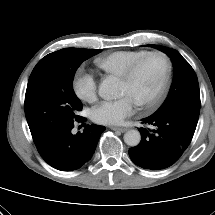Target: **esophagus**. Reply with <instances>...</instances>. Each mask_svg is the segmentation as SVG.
<instances>
[{"mask_svg":"<svg viewBox=\"0 0 215 215\" xmlns=\"http://www.w3.org/2000/svg\"><path fill=\"white\" fill-rule=\"evenodd\" d=\"M111 129L114 131H120L122 133L127 131V128H123V127H111Z\"/></svg>","mask_w":215,"mask_h":215,"instance_id":"obj_1","label":"esophagus"}]
</instances>
